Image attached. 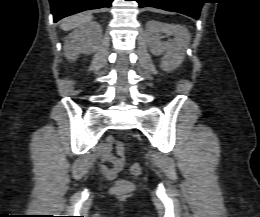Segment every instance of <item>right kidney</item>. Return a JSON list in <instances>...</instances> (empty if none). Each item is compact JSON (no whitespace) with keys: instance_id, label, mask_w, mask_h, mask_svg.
I'll use <instances>...</instances> for the list:
<instances>
[{"instance_id":"obj_1","label":"right kidney","mask_w":260,"mask_h":217,"mask_svg":"<svg viewBox=\"0 0 260 217\" xmlns=\"http://www.w3.org/2000/svg\"><path fill=\"white\" fill-rule=\"evenodd\" d=\"M102 38V28L98 23L89 22L80 25L69 34L64 51L67 59L75 61L79 54H92Z\"/></svg>"}]
</instances>
